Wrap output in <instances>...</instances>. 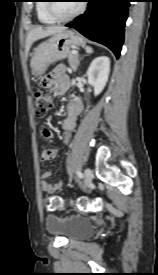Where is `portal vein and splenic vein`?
Returning a JSON list of instances; mask_svg holds the SVG:
<instances>
[{"label": "portal vein and splenic vein", "instance_id": "1", "mask_svg": "<svg viewBox=\"0 0 158 275\" xmlns=\"http://www.w3.org/2000/svg\"><path fill=\"white\" fill-rule=\"evenodd\" d=\"M73 54L75 55H78V52L77 51H72Z\"/></svg>", "mask_w": 158, "mask_h": 275}]
</instances>
